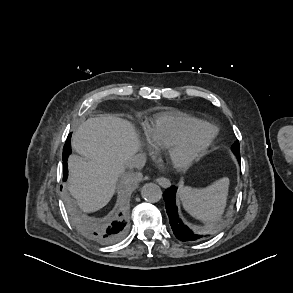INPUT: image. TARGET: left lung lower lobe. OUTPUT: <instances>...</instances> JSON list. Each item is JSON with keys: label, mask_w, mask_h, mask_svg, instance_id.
<instances>
[{"label": "left lung lower lobe", "mask_w": 293, "mask_h": 293, "mask_svg": "<svg viewBox=\"0 0 293 293\" xmlns=\"http://www.w3.org/2000/svg\"><path fill=\"white\" fill-rule=\"evenodd\" d=\"M240 161V156L237 157ZM177 188L172 186L168 188L163 194V198L166 202V210L169 216V223L172 227L173 233L180 241H194L201 238V235L194 234L187 226H185L178 216V210L175 201V194Z\"/></svg>", "instance_id": "left-lung-lower-lobe-1"}]
</instances>
